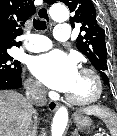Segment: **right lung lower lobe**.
I'll return each instance as SVG.
<instances>
[{
  "label": "right lung lower lobe",
  "instance_id": "obj_1",
  "mask_svg": "<svg viewBox=\"0 0 117 136\" xmlns=\"http://www.w3.org/2000/svg\"><path fill=\"white\" fill-rule=\"evenodd\" d=\"M22 87V78L20 73H0V90L1 89H19Z\"/></svg>",
  "mask_w": 117,
  "mask_h": 136
}]
</instances>
